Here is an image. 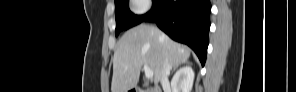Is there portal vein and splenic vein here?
<instances>
[{"mask_svg":"<svg viewBox=\"0 0 296 92\" xmlns=\"http://www.w3.org/2000/svg\"><path fill=\"white\" fill-rule=\"evenodd\" d=\"M143 68H144V71H145L146 78L147 79L153 78V71L149 68V66L144 64Z\"/></svg>","mask_w":296,"mask_h":92,"instance_id":"1","label":"portal vein and splenic vein"}]
</instances>
